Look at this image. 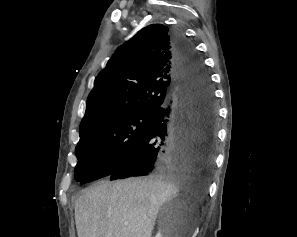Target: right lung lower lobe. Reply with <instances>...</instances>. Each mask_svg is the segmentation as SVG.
Listing matches in <instances>:
<instances>
[{
	"instance_id": "obj_1",
	"label": "right lung lower lobe",
	"mask_w": 297,
	"mask_h": 237,
	"mask_svg": "<svg viewBox=\"0 0 297 237\" xmlns=\"http://www.w3.org/2000/svg\"><path fill=\"white\" fill-rule=\"evenodd\" d=\"M172 100L154 112L145 136L101 176L110 180L167 173L208 174L214 161L216 108L208 75L193 45L172 32Z\"/></svg>"
}]
</instances>
